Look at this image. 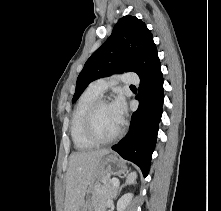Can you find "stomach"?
Wrapping results in <instances>:
<instances>
[{
  "mask_svg": "<svg viewBox=\"0 0 221 211\" xmlns=\"http://www.w3.org/2000/svg\"><path fill=\"white\" fill-rule=\"evenodd\" d=\"M126 170H127L126 163L122 159L112 154H107L103 156L99 161L95 175L93 176V178L89 183L86 192V198L84 199L80 211L93 210L90 201V194L93 191L94 184H97L99 180H102L104 178H109L110 176H119L121 174H124Z\"/></svg>",
  "mask_w": 221,
  "mask_h": 211,
  "instance_id": "obj_1",
  "label": "stomach"
}]
</instances>
